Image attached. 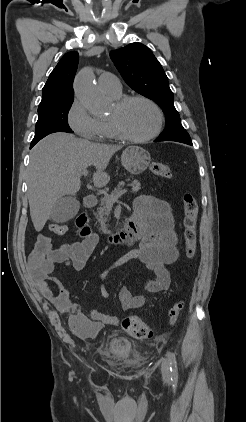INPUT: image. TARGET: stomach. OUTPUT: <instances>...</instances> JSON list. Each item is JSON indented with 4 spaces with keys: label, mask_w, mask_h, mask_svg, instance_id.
Returning <instances> with one entry per match:
<instances>
[{
    "label": "stomach",
    "mask_w": 246,
    "mask_h": 422,
    "mask_svg": "<svg viewBox=\"0 0 246 422\" xmlns=\"http://www.w3.org/2000/svg\"><path fill=\"white\" fill-rule=\"evenodd\" d=\"M151 161L150 154L144 148L131 145L121 155L124 168L133 175L144 172Z\"/></svg>",
    "instance_id": "0dacf381"
}]
</instances>
